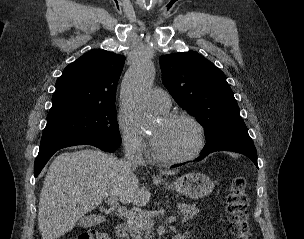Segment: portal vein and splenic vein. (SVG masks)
Here are the masks:
<instances>
[{
    "label": "portal vein and splenic vein",
    "mask_w": 304,
    "mask_h": 239,
    "mask_svg": "<svg viewBox=\"0 0 304 239\" xmlns=\"http://www.w3.org/2000/svg\"><path fill=\"white\" fill-rule=\"evenodd\" d=\"M107 202H108V205L111 206L113 209H117L118 213L122 217L127 219L128 222H132L135 219L142 216V214H137L135 212L127 210V208H125L123 206H120V204L118 203V199L115 196L109 197ZM176 219H177L176 216H171L167 219V222L171 223V222L176 221ZM149 224L153 225V221H151Z\"/></svg>",
    "instance_id": "1"
}]
</instances>
